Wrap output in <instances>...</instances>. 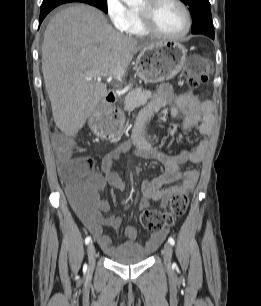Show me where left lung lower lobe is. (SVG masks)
Here are the masks:
<instances>
[{"label":"left lung lower lobe","mask_w":261,"mask_h":306,"mask_svg":"<svg viewBox=\"0 0 261 306\" xmlns=\"http://www.w3.org/2000/svg\"><path fill=\"white\" fill-rule=\"evenodd\" d=\"M207 36H209L210 38L214 39V33H211V34H205Z\"/></svg>","instance_id":"0a47b994"}]
</instances>
